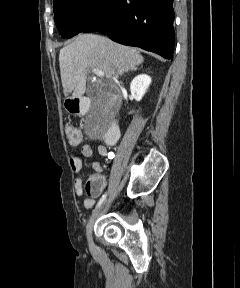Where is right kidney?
<instances>
[{"mask_svg": "<svg viewBox=\"0 0 240 288\" xmlns=\"http://www.w3.org/2000/svg\"><path fill=\"white\" fill-rule=\"evenodd\" d=\"M151 83V77L146 74L136 76L131 84L130 91L135 100L140 101Z\"/></svg>", "mask_w": 240, "mask_h": 288, "instance_id": "obj_1", "label": "right kidney"}]
</instances>
